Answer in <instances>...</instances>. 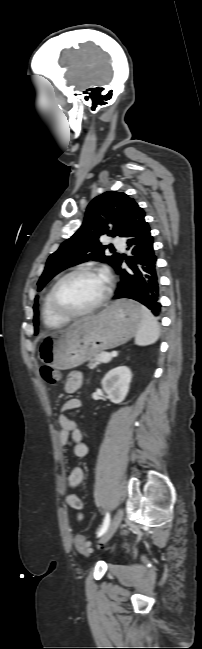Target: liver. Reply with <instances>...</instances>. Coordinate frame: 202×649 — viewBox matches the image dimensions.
<instances>
[{"label": "liver", "instance_id": "6515ba94", "mask_svg": "<svg viewBox=\"0 0 202 649\" xmlns=\"http://www.w3.org/2000/svg\"><path fill=\"white\" fill-rule=\"evenodd\" d=\"M83 320V319H82ZM82 320L75 322L73 325L79 324Z\"/></svg>", "mask_w": 202, "mask_h": 649}]
</instances>
